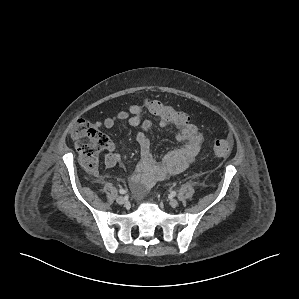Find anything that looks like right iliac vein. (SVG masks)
Masks as SVG:
<instances>
[{
	"label": "right iliac vein",
	"instance_id": "63e3f726",
	"mask_svg": "<svg viewBox=\"0 0 299 299\" xmlns=\"http://www.w3.org/2000/svg\"><path fill=\"white\" fill-rule=\"evenodd\" d=\"M116 201H117L118 204L123 205L127 202V199L123 196H118Z\"/></svg>",
	"mask_w": 299,
	"mask_h": 299
}]
</instances>
